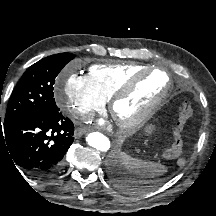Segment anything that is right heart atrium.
Masks as SVG:
<instances>
[{"label":"right heart atrium","instance_id":"d8ad5b80","mask_svg":"<svg viewBox=\"0 0 216 216\" xmlns=\"http://www.w3.org/2000/svg\"><path fill=\"white\" fill-rule=\"evenodd\" d=\"M54 98L65 115L85 119L94 112L102 111L106 103L88 75H78L69 70H65L58 78Z\"/></svg>","mask_w":216,"mask_h":216}]
</instances>
